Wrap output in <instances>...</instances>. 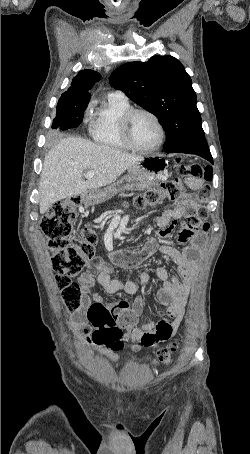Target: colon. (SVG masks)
<instances>
[{"label": "colon", "mask_w": 250, "mask_h": 454, "mask_svg": "<svg viewBox=\"0 0 250 454\" xmlns=\"http://www.w3.org/2000/svg\"><path fill=\"white\" fill-rule=\"evenodd\" d=\"M180 163V171L184 177L203 179L206 182L212 179V169L192 163ZM184 189L182 177L168 180L156 188L138 194L134 203L138 208L155 205L163 200L178 199ZM211 195V188L205 185L200 191V199L205 202ZM80 203L79 196H72L60 200L52 205L41 221V229L46 236L51 251L52 268L56 273L57 286L61 292L62 301L69 312H76L82 304V295L79 285L72 280L78 275L94 257L97 235L92 225L84 227L79 234L73 232V223L76 218V207ZM197 218L201 221V231L207 232L208 211L204 205L196 210ZM87 319L93 326L91 339L95 344L104 345L111 351H119L128 341L134 338L135 320L129 315L118 317L104 304L93 303L86 313ZM123 330L127 332L124 333ZM137 348V346H135ZM177 350V344L172 343L158 350L155 362L168 365L172 355Z\"/></svg>", "instance_id": "obj_1"}]
</instances>
